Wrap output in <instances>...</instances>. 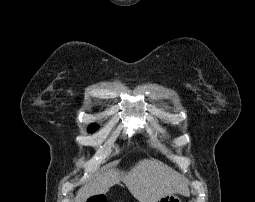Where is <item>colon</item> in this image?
Segmentation results:
<instances>
[{"label":"colon","mask_w":255,"mask_h":202,"mask_svg":"<svg viewBox=\"0 0 255 202\" xmlns=\"http://www.w3.org/2000/svg\"><path fill=\"white\" fill-rule=\"evenodd\" d=\"M87 202H106V201L97 197H93L90 198Z\"/></svg>","instance_id":"1"}]
</instances>
